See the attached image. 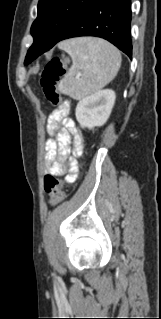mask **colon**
Masks as SVG:
<instances>
[{
    "label": "colon",
    "instance_id": "obj_1",
    "mask_svg": "<svg viewBox=\"0 0 161 319\" xmlns=\"http://www.w3.org/2000/svg\"><path fill=\"white\" fill-rule=\"evenodd\" d=\"M65 73V61L60 57L52 58L44 67L40 75V84L47 100L61 108L64 114L69 113V104L63 101L57 91V84ZM62 182L52 175L44 178V192L51 196V204L58 206L64 199L61 190Z\"/></svg>",
    "mask_w": 161,
    "mask_h": 319
}]
</instances>
